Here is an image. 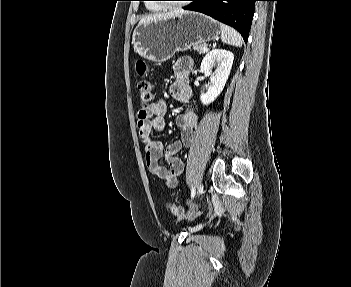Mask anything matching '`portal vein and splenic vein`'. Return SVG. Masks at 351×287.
I'll list each match as a JSON object with an SVG mask.
<instances>
[{"instance_id": "portal-vein-and-splenic-vein-1", "label": "portal vein and splenic vein", "mask_w": 351, "mask_h": 287, "mask_svg": "<svg viewBox=\"0 0 351 287\" xmlns=\"http://www.w3.org/2000/svg\"><path fill=\"white\" fill-rule=\"evenodd\" d=\"M203 50H204V51H207V50H208V48H207L206 45L204 46Z\"/></svg>"}]
</instances>
